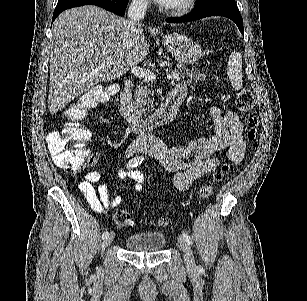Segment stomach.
Listing matches in <instances>:
<instances>
[{"instance_id": "stomach-1", "label": "stomach", "mask_w": 307, "mask_h": 301, "mask_svg": "<svg viewBox=\"0 0 307 301\" xmlns=\"http://www.w3.org/2000/svg\"><path fill=\"white\" fill-rule=\"evenodd\" d=\"M162 38L167 52L174 56L178 64H194L203 54L200 44L194 42L187 34L173 32Z\"/></svg>"}]
</instances>
